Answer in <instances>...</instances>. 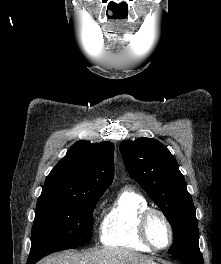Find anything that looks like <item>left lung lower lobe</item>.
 Masks as SVG:
<instances>
[{
    "label": "left lung lower lobe",
    "mask_w": 221,
    "mask_h": 264,
    "mask_svg": "<svg viewBox=\"0 0 221 264\" xmlns=\"http://www.w3.org/2000/svg\"><path fill=\"white\" fill-rule=\"evenodd\" d=\"M176 257L185 264H204L203 257L200 254L176 255Z\"/></svg>",
    "instance_id": "0a47b994"
}]
</instances>
